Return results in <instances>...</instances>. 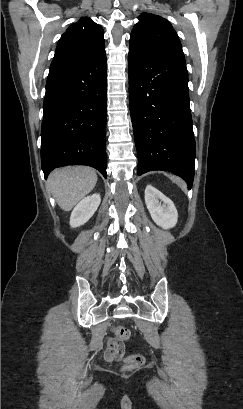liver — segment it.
Listing matches in <instances>:
<instances>
[{"instance_id": "1", "label": "liver", "mask_w": 243, "mask_h": 409, "mask_svg": "<svg viewBox=\"0 0 243 409\" xmlns=\"http://www.w3.org/2000/svg\"><path fill=\"white\" fill-rule=\"evenodd\" d=\"M97 183L96 171L87 166H68L54 170L47 184L59 207L71 210Z\"/></svg>"}]
</instances>
